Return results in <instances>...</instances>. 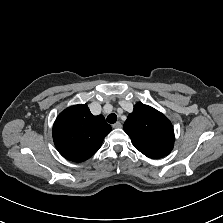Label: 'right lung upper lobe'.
<instances>
[{
    "instance_id": "1",
    "label": "right lung upper lobe",
    "mask_w": 223,
    "mask_h": 223,
    "mask_svg": "<svg viewBox=\"0 0 223 223\" xmlns=\"http://www.w3.org/2000/svg\"><path fill=\"white\" fill-rule=\"evenodd\" d=\"M111 126L104 116H94L85 104L71 106L59 114L53 125V140L66 159L82 162L101 147Z\"/></svg>"
}]
</instances>
